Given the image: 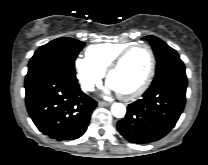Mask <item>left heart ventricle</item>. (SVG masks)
Returning <instances> with one entry per match:
<instances>
[{
    "mask_svg": "<svg viewBox=\"0 0 208 165\" xmlns=\"http://www.w3.org/2000/svg\"><path fill=\"white\" fill-rule=\"evenodd\" d=\"M150 66L149 52L144 47L132 50L110 75L109 83L119 93H128L144 81Z\"/></svg>",
    "mask_w": 208,
    "mask_h": 165,
    "instance_id": "left-heart-ventricle-1",
    "label": "left heart ventricle"
}]
</instances>
